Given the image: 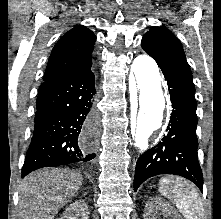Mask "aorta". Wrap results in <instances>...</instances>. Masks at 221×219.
<instances>
[{"label":"aorta","mask_w":221,"mask_h":219,"mask_svg":"<svg viewBox=\"0 0 221 219\" xmlns=\"http://www.w3.org/2000/svg\"><path fill=\"white\" fill-rule=\"evenodd\" d=\"M135 79L133 89L137 101L132 129L135 146L141 151L147 138L162 125L166 110V96L156 62L147 55H139L132 63ZM138 94V96H137Z\"/></svg>","instance_id":"aorta-1"}]
</instances>
